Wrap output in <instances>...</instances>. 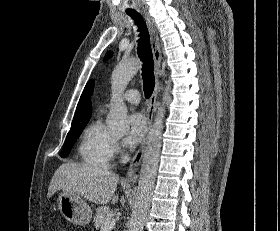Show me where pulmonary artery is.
Listing matches in <instances>:
<instances>
[{
	"instance_id": "pulmonary-artery-1",
	"label": "pulmonary artery",
	"mask_w": 280,
	"mask_h": 231,
	"mask_svg": "<svg viewBox=\"0 0 280 231\" xmlns=\"http://www.w3.org/2000/svg\"><path fill=\"white\" fill-rule=\"evenodd\" d=\"M122 100L127 101L131 104H138L140 101V94L137 90L131 89L123 94Z\"/></svg>"
}]
</instances>
